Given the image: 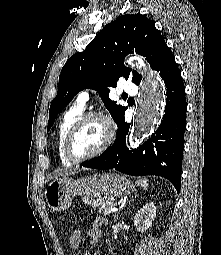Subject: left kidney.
I'll return each instance as SVG.
<instances>
[{"label":"left kidney","mask_w":221,"mask_h":255,"mask_svg":"<svg viewBox=\"0 0 221 255\" xmlns=\"http://www.w3.org/2000/svg\"><path fill=\"white\" fill-rule=\"evenodd\" d=\"M156 217V206L154 202L146 203L135 215L134 225L138 231L144 232L152 226Z\"/></svg>","instance_id":"1"}]
</instances>
